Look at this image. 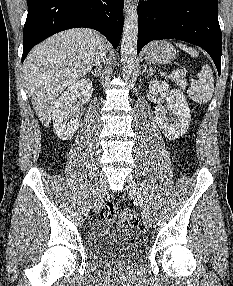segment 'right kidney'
Returning a JSON list of instances; mask_svg holds the SVG:
<instances>
[{"mask_svg": "<svg viewBox=\"0 0 233 286\" xmlns=\"http://www.w3.org/2000/svg\"><path fill=\"white\" fill-rule=\"evenodd\" d=\"M92 94V82L89 79H80L70 85L57 99L53 107L52 119L54 132L60 139H71L79 127L78 109L72 107V104L77 99L86 103Z\"/></svg>", "mask_w": 233, "mask_h": 286, "instance_id": "1", "label": "right kidney"}]
</instances>
